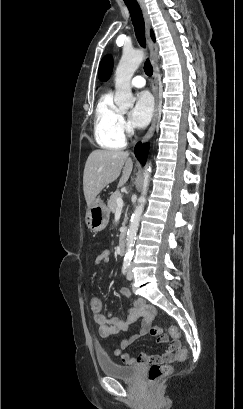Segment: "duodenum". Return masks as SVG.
<instances>
[{"instance_id":"410a0bca","label":"duodenum","mask_w":243,"mask_h":409,"mask_svg":"<svg viewBox=\"0 0 243 409\" xmlns=\"http://www.w3.org/2000/svg\"><path fill=\"white\" fill-rule=\"evenodd\" d=\"M124 236H125V232L123 233V236H122V238H121V240H120V243H119V246H118V251H119V254L120 255H124L125 254V238H124Z\"/></svg>"}]
</instances>
